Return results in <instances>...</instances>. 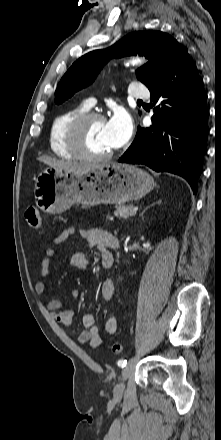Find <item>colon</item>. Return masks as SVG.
<instances>
[{"instance_id":"5ec220e1","label":"colon","mask_w":221,"mask_h":440,"mask_svg":"<svg viewBox=\"0 0 221 440\" xmlns=\"http://www.w3.org/2000/svg\"><path fill=\"white\" fill-rule=\"evenodd\" d=\"M25 218L31 228L40 229L42 227V218L37 207L30 206L25 212ZM110 348L115 354L121 353L123 349L122 345L117 342L112 343Z\"/></svg>"}]
</instances>
